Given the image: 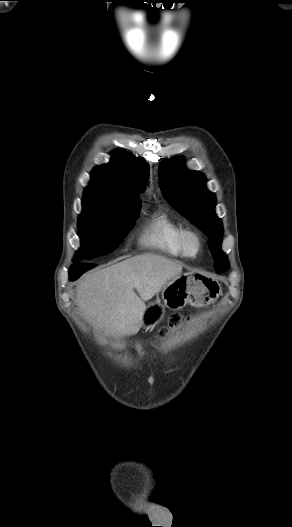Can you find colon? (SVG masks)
Segmentation results:
<instances>
[{"label":"colon","instance_id":"5ec220e1","mask_svg":"<svg viewBox=\"0 0 292 527\" xmlns=\"http://www.w3.org/2000/svg\"><path fill=\"white\" fill-rule=\"evenodd\" d=\"M182 321H183V318H182V317H180V316H178V315H174V316H172V317L170 318V320H169L168 325L162 327V328L158 331V336H159V337H166V336H168L170 333L179 330Z\"/></svg>","mask_w":292,"mask_h":527}]
</instances>
